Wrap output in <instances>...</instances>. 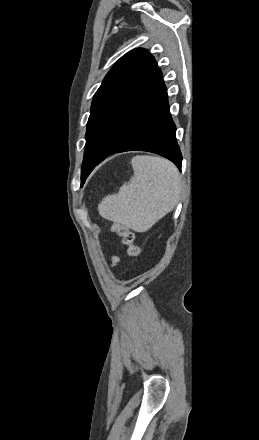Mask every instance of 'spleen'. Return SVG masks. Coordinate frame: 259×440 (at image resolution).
Instances as JSON below:
<instances>
[{
  "label": "spleen",
  "instance_id": "1",
  "mask_svg": "<svg viewBox=\"0 0 259 440\" xmlns=\"http://www.w3.org/2000/svg\"><path fill=\"white\" fill-rule=\"evenodd\" d=\"M131 164L129 183L104 197L98 210L105 219L145 232L177 205L181 178L176 166L161 157L137 155Z\"/></svg>",
  "mask_w": 259,
  "mask_h": 440
}]
</instances>
